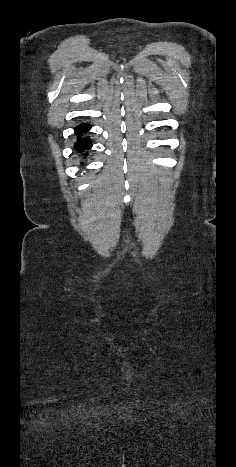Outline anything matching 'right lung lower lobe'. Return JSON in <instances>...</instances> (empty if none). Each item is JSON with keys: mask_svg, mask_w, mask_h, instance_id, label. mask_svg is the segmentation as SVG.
Listing matches in <instances>:
<instances>
[{"mask_svg": "<svg viewBox=\"0 0 236 467\" xmlns=\"http://www.w3.org/2000/svg\"><path fill=\"white\" fill-rule=\"evenodd\" d=\"M89 129L90 126L88 124L83 123L75 128V133L78 135L75 147L79 152H84L85 150L90 149L92 146L91 142L87 138L83 139L81 137L82 132Z\"/></svg>", "mask_w": 236, "mask_h": 467, "instance_id": "right-lung-lower-lobe-1", "label": "right lung lower lobe"}]
</instances>
